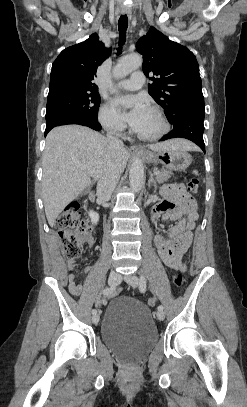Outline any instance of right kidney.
I'll return each instance as SVG.
<instances>
[{"mask_svg": "<svg viewBox=\"0 0 247 407\" xmlns=\"http://www.w3.org/2000/svg\"><path fill=\"white\" fill-rule=\"evenodd\" d=\"M89 216L91 218L92 224L96 225L98 223V221H99V214L94 212V211H90Z\"/></svg>", "mask_w": 247, "mask_h": 407, "instance_id": "ca27d5eb", "label": "right kidney"}]
</instances>
